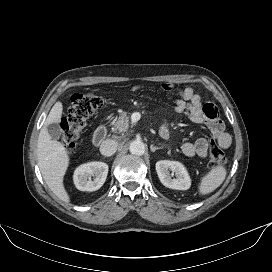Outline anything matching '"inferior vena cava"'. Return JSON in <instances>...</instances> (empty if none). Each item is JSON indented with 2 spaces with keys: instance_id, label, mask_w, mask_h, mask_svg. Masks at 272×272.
Returning <instances> with one entry per match:
<instances>
[{
  "instance_id": "inferior-vena-cava-1",
  "label": "inferior vena cava",
  "mask_w": 272,
  "mask_h": 272,
  "mask_svg": "<svg viewBox=\"0 0 272 272\" xmlns=\"http://www.w3.org/2000/svg\"><path fill=\"white\" fill-rule=\"evenodd\" d=\"M118 143L115 140L107 139L100 145V152L103 156L110 157L117 151Z\"/></svg>"
}]
</instances>
